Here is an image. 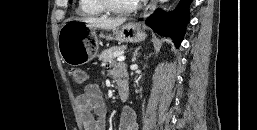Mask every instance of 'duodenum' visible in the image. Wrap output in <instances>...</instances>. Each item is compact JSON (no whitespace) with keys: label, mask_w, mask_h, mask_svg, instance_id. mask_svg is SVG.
Segmentation results:
<instances>
[{"label":"duodenum","mask_w":257,"mask_h":130,"mask_svg":"<svg viewBox=\"0 0 257 130\" xmlns=\"http://www.w3.org/2000/svg\"><path fill=\"white\" fill-rule=\"evenodd\" d=\"M117 89L119 97L122 101H126L129 96V86L128 82L124 79H119L117 81Z\"/></svg>","instance_id":"1"}]
</instances>
